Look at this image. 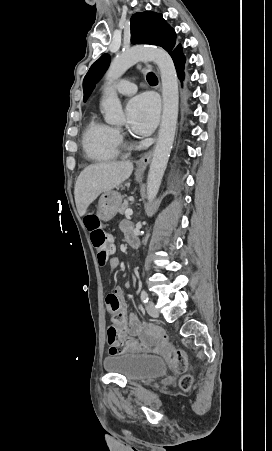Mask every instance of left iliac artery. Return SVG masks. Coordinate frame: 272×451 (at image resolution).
I'll return each mask as SVG.
<instances>
[{
    "label": "left iliac artery",
    "mask_w": 272,
    "mask_h": 451,
    "mask_svg": "<svg viewBox=\"0 0 272 451\" xmlns=\"http://www.w3.org/2000/svg\"><path fill=\"white\" fill-rule=\"evenodd\" d=\"M140 297H141V301H142L144 304H146V303L148 302V300H149L148 294H147V292H146L145 290H142V291L140 292Z\"/></svg>",
    "instance_id": "44dca946"
}]
</instances>
